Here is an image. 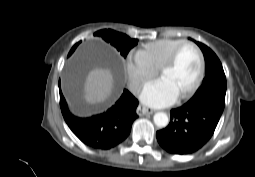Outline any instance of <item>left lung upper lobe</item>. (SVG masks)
<instances>
[{
    "mask_svg": "<svg viewBox=\"0 0 255 177\" xmlns=\"http://www.w3.org/2000/svg\"><path fill=\"white\" fill-rule=\"evenodd\" d=\"M201 48L205 63L206 76L195 95L187 102L189 105H198L203 102L213 101L225 106L226 77L222 64L216 54L206 45L196 42Z\"/></svg>",
    "mask_w": 255,
    "mask_h": 177,
    "instance_id": "left-lung-upper-lobe-1",
    "label": "left lung upper lobe"
}]
</instances>
